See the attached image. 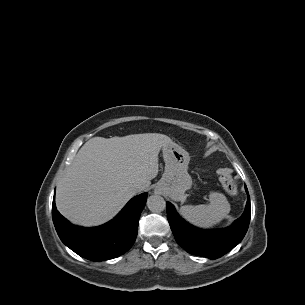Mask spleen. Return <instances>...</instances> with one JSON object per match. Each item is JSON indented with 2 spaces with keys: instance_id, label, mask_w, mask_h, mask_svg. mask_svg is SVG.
Returning a JSON list of instances; mask_svg holds the SVG:
<instances>
[{
  "instance_id": "1",
  "label": "spleen",
  "mask_w": 305,
  "mask_h": 305,
  "mask_svg": "<svg viewBox=\"0 0 305 305\" xmlns=\"http://www.w3.org/2000/svg\"><path fill=\"white\" fill-rule=\"evenodd\" d=\"M230 211V204L225 195L219 192L209 194V204L184 205L180 208V215L189 223L210 228L219 223Z\"/></svg>"
}]
</instances>
